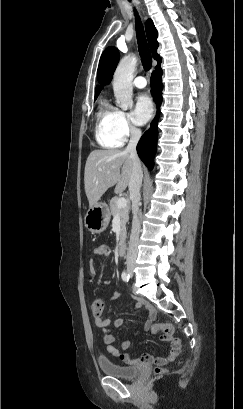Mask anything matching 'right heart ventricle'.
<instances>
[{
    "instance_id": "obj_1",
    "label": "right heart ventricle",
    "mask_w": 243,
    "mask_h": 409,
    "mask_svg": "<svg viewBox=\"0 0 243 409\" xmlns=\"http://www.w3.org/2000/svg\"><path fill=\"white\" fill-rule=\"evenodd\" d=\"M116 108L107 99H103L96 115V140L106 148H119L123 140H121L114 130V119Z\"/></svg>"
}]
</instances>
